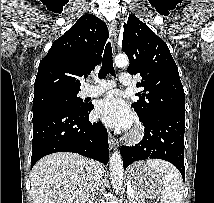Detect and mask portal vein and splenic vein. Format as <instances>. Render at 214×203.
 <instances>
[{
    "label": "portal vein and splenic vein",
    "instance_id": "portal-vein-and-splenic-vein-1",
    "mask_svg": "<svg viewBox=\"0 0 214 203\" xmlns=\"http://www.w3.org/2000/svg\"><path fill=\"white\" fill-rule=\"evenodd\" d=\"M127 194H128V197H133L134 195V190L131 188V187H128L127 189Z\"/></svg>",
    "mask_w": 214,
    "mask_h": 203
}]
</instances>
